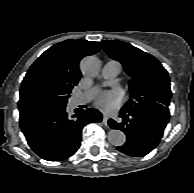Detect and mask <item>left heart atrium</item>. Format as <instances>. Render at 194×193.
Here are the masks:
<instances>
[{"label":"left heart atrium","instance_id":"39dd6f15","mask_svg":"<svg viewBox=\"0 0 194 193\" xmlns=\"http://www.w3.org/2000/svg\"><path fill=\"white\" fill-rule=\"evenodd\" d=\"M121 101L122 95L119 91H105L98 96L96 105L104 112H112L119 107Z\"/></svg>","mask_w":194,"mask_h":193}]
</instances>
